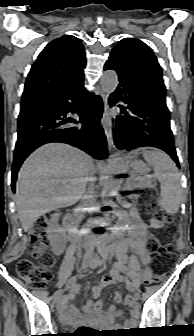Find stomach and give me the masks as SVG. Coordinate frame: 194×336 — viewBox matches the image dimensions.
Segmentation results:
<instances>
[{
  "label": "stomach",
  "instance_id": "0dacf381",
  "mask_svg": "<svg viewBox=\"0 0 194 336\" xmlns=\"http://www.w3.org/2000/svg\"><path fill=\"white\" fill-rule=\"evenodd\" d=\"M131 167L133 171L137 174H146V172L148 171L147 165L144 162L136 159H133L131 161Z\"/></svg>",
  "mask_w": 194,
  "mask_h": 336
}]
</instances>
